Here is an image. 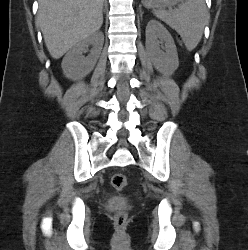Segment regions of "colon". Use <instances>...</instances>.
<instances>
[{
	"mask_svg": "<svg viewBox=\"0 0 248 250\" xmlns=\"http://www.w3.org/2000/svg\"><path fill=\"white\" fill-rule=\"evenodd\" d=\"M111 185L114 189L120 191L123 190L127 185V177L123 173H115L111 177ZM126 220V214L120 212L115 216V222L118 225H122Z\"/></svg>",
	"mask_w": 248,
	"mask_h": 250,
	"instance_id": "colon-1",
	"label": "colon"
}]
</instances>
